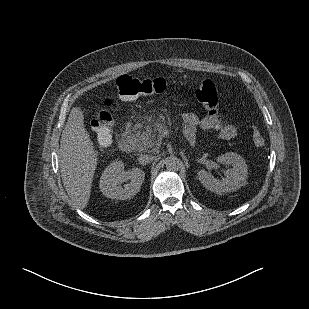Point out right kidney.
Here are the masks:
<instances>
[{"label": "right kidney", "mask_w": 309, "mask_h": 309, "mask_svg": "<svg viewBox=\"0 0 309 309\" xmlns=\"http://www.w3.org/2000/svg\"><path fill=\"white\" fill-rule=\"evenodd\" d=\"M145 173L139 168L124 170V163L121 160H115L110 163L102 172L99 188L104 196L126 200L134 197L141 188ZM130 181L122 185L124 182Z\"/></svg>", "instance_id": "ca27d5eb"}]
</instances>
